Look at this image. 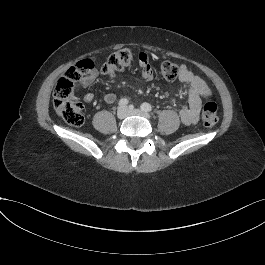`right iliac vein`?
<instances>
[{
	"instance_id": "right-iliac-vein-1",
	"label": "right iliac vein",
	"mask_w": 265,
	"mask_h": 265,
	"mask_svg": "<svg viewBox=\"0 0 265 265\" xmlns=\"http://www.w3.org/2000/svg\"><path fill=\"white\" fill-rule=\"evenodd\" d=\"M128 115L127 109L125 107H119L117 110V117L119 119H124Z\"/></svg>"
}]
</instances>
